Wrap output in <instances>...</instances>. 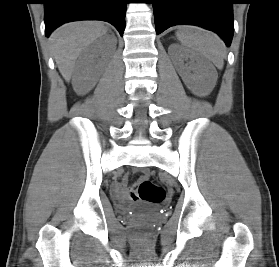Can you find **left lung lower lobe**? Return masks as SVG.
Here are the masks:
<instances>
[{"instance_id":"0a47b994","label":"left lung lower lobe","mask_w":279,"mask_h":267,"mask_svg":"<svg viewBox=\"0 0 279 267\" xmlns=\"http://www.w3.org/2000/svg\"><path fill=\"white\" fill-rule=\"evenodd\" d=\"M156 33L174 25H197L216 32L230 46L233 0H152Z\"/></svg>"}]
</instances>
